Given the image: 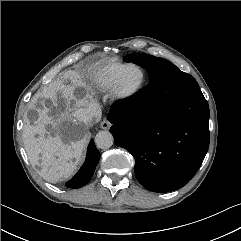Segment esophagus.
I'll return each instance as SVG.
<instances>
[{"label": "esophagus", "mask_w": 241, "mask_h": 241, "mask_svg": "<svg viewBox=\"0 0 241 241\" xmlns=\"http://www.w3.org/2000/svg\"><path fill=\"white\" fill-rule=\"evenodd\" d=\"M101 128L104 129V130H108L110 127H111V123L107 120V119H104L102 122H101Z\"/></svg>", "instance_id": "obj_1"}]
</instances>
